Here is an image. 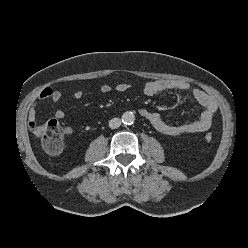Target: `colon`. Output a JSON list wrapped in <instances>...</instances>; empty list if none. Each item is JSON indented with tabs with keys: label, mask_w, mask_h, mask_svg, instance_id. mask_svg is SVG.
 I'll return each mask as SVG.
<instances>
[{
	"label": "colon",
	"mask_w": 248,
	"mask_h": 248,
	"mask_svg": "<svg viewBox=\"0 0 248 248\" xmlns=\"http://www.w3.org/2000/svg\"><path fill=\"white\" fill-rule=\"evenodd\" d=\"M34 134L40 139L42 147L49 154H59L64 147V135L60 124L56 120H49L41 126H38ZM206 142L212 140V134L207 133L204 136Z\"/></svg>",
	"instance_id": "5ec220e1"
}]
</instances>
